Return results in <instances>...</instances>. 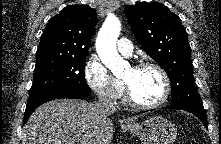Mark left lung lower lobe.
Wrapping results in <instances>:
<instances>
[{"instance_id": "obj_1", "label": "left lung lower lobe", "mask_w": 221, "mask_h": 144, "mask_svg": "<svg viewBox=\"0 0 221 144\" xmlns=\"http://www.w3.org/2000/svg\"><path fill=\"white\" fill-rule=\"evenodd\" d=\"M164 109H179V110H185L187 112H190L194 114L195 116H197L202 121L204 126L208 128V123H207L204 108H199V107H194V106H189V105H171V106L165 107ZM144 112L145 111H141L139 113H144Z\"/></svg>"}]
</instances>
